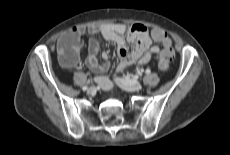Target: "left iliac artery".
I'll list each match as a JSON object with an SVG mask.
<instances>
[{"label":"left iliac artery","mask_w":230,"mask_h":155,"mask_svg":"<svg viewBox=\"0 0 230 155\" xmlns=\"http://www.w3.org/2000/svg\"><path fill=\"white\" fill-rule=\"evenodd\" d=\"M145 73L149 74L150 73V69H146ZM133 78H138V76H134Z\"/></svg>","instance_id":"left-iliac-artery-1"}]
</instances>
